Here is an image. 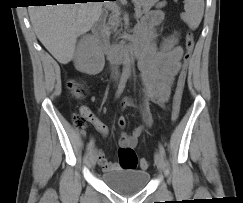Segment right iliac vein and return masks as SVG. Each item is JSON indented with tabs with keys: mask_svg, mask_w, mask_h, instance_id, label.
<instances>
[{
	"mask_svg": "<svg viewBox=\"0 0 243 203\" xmlns=\"http://www.w3.org/2000/svg\"><path fill=\"white\" fill-rule=\"evenodd\" d=\"M97 161V152L96 150H92L89 155V165L90 167H94Z\"/></svg>",
	"mask_w": 243,
	"mask_h": 203,
	"instance_id": "obj_1",
	"label": "right iliac vein"
}]
</instances>
